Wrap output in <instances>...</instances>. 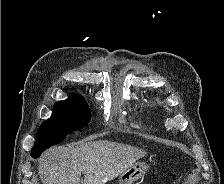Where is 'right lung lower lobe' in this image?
<instances>
[{"label": "right lung lower lobe", "mask_w": 224, "mask_h": 184, "mask_svg": "<svg viewBox=\"0 0 224 184\" xmlns=\"http://www.w3.org/2000/svg\"><path fill=\"white\" fill-rule=\"evenodd\" d=\"M31 156L33 157V158H37L38 156H36L35 154H32L31 153Z\"/></svg>", "instance_id": "obj_1"}]
</instances>
